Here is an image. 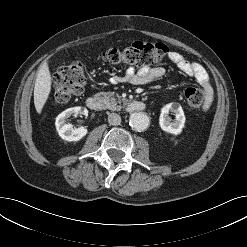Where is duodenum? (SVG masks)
<instances>
[{
    "label": "duodenum",
    "mask_w": 247,
    "mask_h": 247,
    "mask_svg": "<svg viewBox=\"0 0 247 247\" xmlns=\"http://www.w3.org/2000/svg\"><path fill=\"white\" fill-rule=\"evenodd\" d=\"M86 105L89 109L94 111H104L106 106L104 101L98 96L92 95L86 99ZM145 109V104L139 100H132L128 104V110L131 112H140Z\"/></svg>",
    "instance_id": "1"
}]
</instances>
